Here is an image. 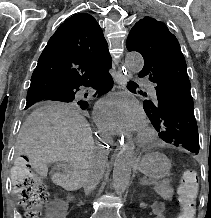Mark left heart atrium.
I'll return each instance as SVG.
<instances>
[{
    "mask_svg": "<svg viewBox=\"0 0 211 218\" xmlns=\"http://www.w3.org/2000/svg\"><path fill=\"white\" fill-rule=\"evenodd\" d=\"M95 120L106 134H118L141 129V109L123 96H111L97 103Z\"/></svg>",
    "mask_w": 211,
    "mask_h": 218,
    "instance_id": "obj_1",
    "label": "left heart atrium"
}]
</instances>
